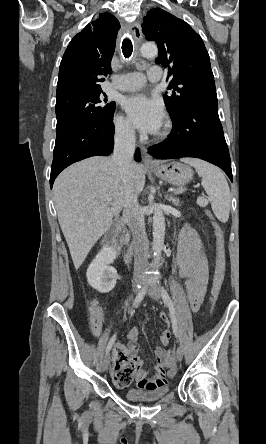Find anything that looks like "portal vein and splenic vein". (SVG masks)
I'll return each mask as SVG.
<instances>
[{
    "label": "portal vein and splenic vein",
    "mask_w": 266,
    "mask_h": 444,
    "mask_svg": "<svg viewBox=\"0 0 266 444\" xmlns=\"http://www.w3.org/2000/svg\"><path fill=\"white\" fill-rule=\"evenodd\" d=\"M169 191L172 192V191H175V190H174V189H169ZM106 201H107L108 203H110V202L112 201V198L107 197V198H106Z\"/></svg>",
    "instance_id": "obj_1"
}]
</instances>
